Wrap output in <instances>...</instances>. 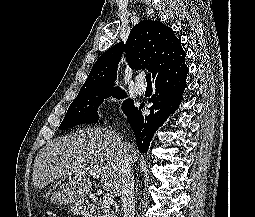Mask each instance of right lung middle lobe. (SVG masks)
I'll return each mask as SVG.
<instances>
[{
  "label": "right lung middle lobe",
  "mask_w": 255,
  "mask_h": 217,
  "mask_svg": "<svg viewBox=\"0 0 255 217\" xmlns=\"http://www.w3.org/2000/svg\"><path fill=\"white\" fill-rule=\"evenodd\" d=\"M111 96L122 99L126 97V94L120 88L93 93H78L69 106L59 129L64 130L79 124L97 122L99 120L98 107L103 103L104 99ZM133 109L132 99H126L122 103V110L125 114H128Z\"/></svg>",
  "instance_id": "dd1d6c3e"
}]
</instances>
